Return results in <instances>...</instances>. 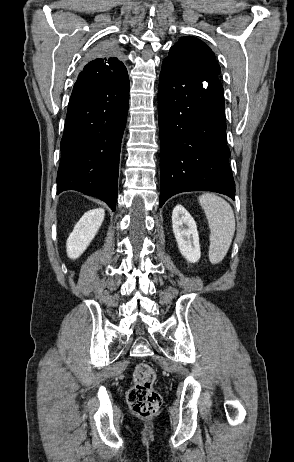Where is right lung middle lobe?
Listing matches in <instances>:
<instances>
[{
  "mask_svg": "<svg viewBox=\"0 0 294 462\" xmlns=\"http://www.w3.org/2000/svg\"><path fill=\"white\" fill-rule=\"evenodd\" d=\"M116 45L115 42L111 39L103 40L99 42L91 51V56H95L100 52L107 51V50H115Z\"/></svg>",
  "mask_w": 294,
  "mask_h": 462,
  "instance_id": "right-lung-middle-lobe-1",
  "label": "right lung middle lobe"
}]
</instances>
